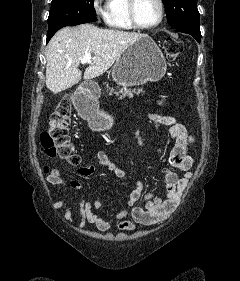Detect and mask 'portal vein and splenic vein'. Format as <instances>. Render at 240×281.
<instances>
[{"label": "portal vein and splenic vein", "mask_w": 240, "mask_h": 281, "mask_svg": "<svg viewBox=\"0 0 240 281\" xmlns=\"http://www.w3.org/2000/svg\"><path fill=\"white\" fill-rule=\"evenodd\" d=\"M80 63L85 64H91L92 63V56L91 54H85L81 59H80Z\"/></svg>", "instance_id": "18ae733b"}]
</instances>
